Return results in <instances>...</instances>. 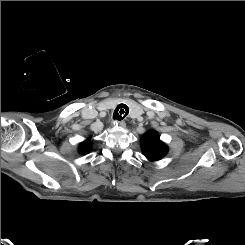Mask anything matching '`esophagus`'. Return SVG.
Instances as JSON below:
<instances>
[{
  "label": "esophagus",
  "mask_w": 245,
  "mask_h": 245,
  "mask_svg": "<svg viewBox=\"0 0 245 245\" xmlns=\"http://www.w3.org/2000/svg\"><path fill=\"white\" fill-rule=\"evenodd\" d=\"M115 123L122 128H124L126 126V123L124 121H115Z\"/></svg>",
  "instance_id": "esophagus-1"
}]
</instances>
